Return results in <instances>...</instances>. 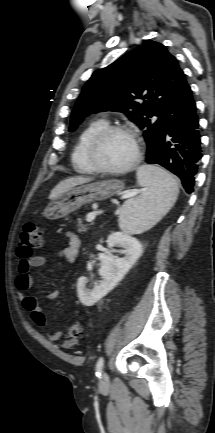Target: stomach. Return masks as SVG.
Returning <instances> with one entry per match:
<instances>
[{"label":"stomach","instance_id":"0dacf381","mask_svg":"<svg viewBox=\"0 0 215 433\" xmlns=\"http://www.w3.org/2000/svg\"><path fill=\"white\" fill-rule=\"evenodd\" d=\"M123 189L124 184L118 180L98 181L73 187L53 200L44 211V216L50 220L64 218L85 204L110 198Z\"/></svg>","mask_w":215,"mask_h":433}]
</instances>
